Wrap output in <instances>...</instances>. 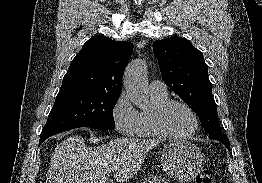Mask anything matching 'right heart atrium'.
I'll list each match as a JSON object with an SVG mask.
<instances>
[{
  "label": "right heart atrium",
  "mask_w": 262,
  "mask_h": 183,
  "mask_svg": "<svg viewBox=\"0 0 262 183\" xmlns=\"http://www.w3.org/2000/svg\"><path fill=\"white\" fill-rule=\"evenodd\" d=\"M139 112L132 105L126 93H121L111 109V117L116 131L125 136L135 134Z\"/></svg>",
  "instance_id": "1"
}]
</instances>
